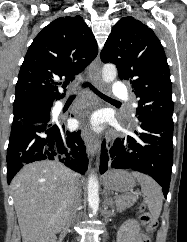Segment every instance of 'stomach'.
<instances>
[{
    "instance_id": "stomach-1",
    "label": "stomach",
    "mask_w": 187,
    "mask_h": 242,
    "mask_svg": "<svg viewBox=\"0 0 187 242\" xmlns=\"http://www.w3.org/2000/svg\"><path fill=\"white\" fill-rule=\"evenodd\" d=\"M135 184L134 176L124 170H111L103 177V185L107 190L128 192Z\"/></svg>"
}]
</instances>
